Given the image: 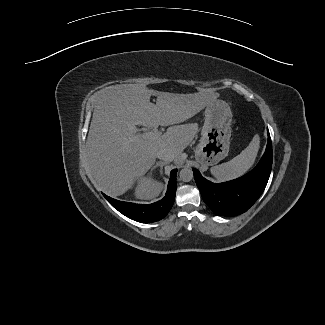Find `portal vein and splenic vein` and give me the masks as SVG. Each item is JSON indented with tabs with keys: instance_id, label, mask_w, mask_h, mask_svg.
<instances>
[{
	"instance_id": "portal-vein-and-splenic-vein-1",
	"label": "portal vein and splenic vein",
	"mask_w": 325,
	"mask_h": 325,
	"mask_svg": "<svg viewBox=\"0 0 325 325\" xmlns=\"http://www.w3.org/2000/svg\"><path fill=\"white\" fill-rule=\"evenodd\" d=\"M159 136H161V132H159V131H151V132L144 133L142 135L143 138L149 139V140L157 139Z\"/></svg>"
}]
</instances>
